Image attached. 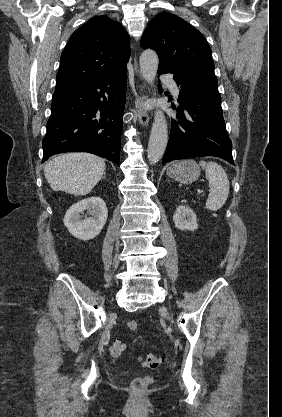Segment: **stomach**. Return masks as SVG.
<instances>
[{
	"instance_id": "stomach-1",
	"label": "stomach",
	"mask_w": 282,
	"mask_h": 417,
	"mask_svg": "<svg viewBox=\"0 0 282 417\" xmlns=\"http://www.w3.org/2000/svg\"><path fill=\"white\" fill-rule=\"evenodd\" d=\"M167 174L174 180L190 184V182L197 180L200 174V166L195 160H179V162H173L168 166Z\"/></svg>"
}]
</instances>
